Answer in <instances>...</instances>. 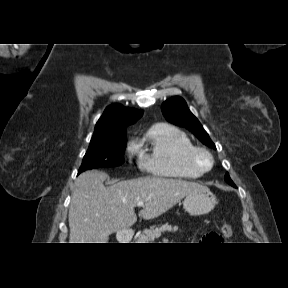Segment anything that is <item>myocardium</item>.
<instances>
[{
	"instance_id": "myocardium-1",
	"label": "myocardium",
	"mask_w": 288,
	"mask_h": 288,
	"mask_svg": "<svg viewBox=\"0 0 288 288\" xmlns=\"http://www.w3.org/2000/svg\"><path fill=\"white\" fill-rule=\"evenodd\" d=\"M187 158L193 167L199 169L203 173L211 171L215 164L212 153L208 149L200 146H193L189 151Z\"/></svg>"
}]
</instances>
